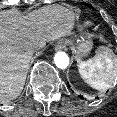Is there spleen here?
Wrapping results in <instances>:
<instances>
[{
    "label": "spleen",
    "mask_w": 117,
    "mask_h": 117,
    "mask_svg": "<svg viewBox=\"0 0 117 117\" xmlns=\"http://www.w3.org/2000/svg\"><path fill=\"white\" fill-rule=\"evenodd\" d=\"M82 79L92 88L104 91L117 80V56L110 49H103L86 61L78 59Z\"/></svg>",
    "instance_id": "obj_1"
}]
</instances>
